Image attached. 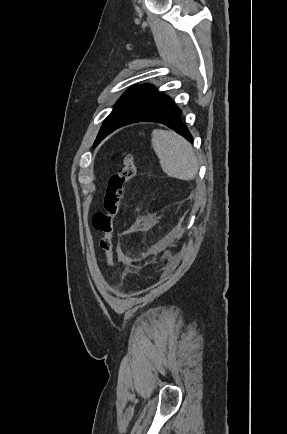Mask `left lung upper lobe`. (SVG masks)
Returning a JSON list of instances; mask_svg holds the SVG:
<instances>
[{
  "instance_id": "obj_1",
  "label": "left lung upper lobe",
  "mask_w": 287,
  "mask_h": 434,
  "mask_svg": "<svg viewBox=\"0 0 287 434\" xmlns=\"http://www.w3.org/2000/svg\"><path fill=\"white\" fill-rule=\"evenodd\" d=\"M167 96L156 92L153 85H135L129 88L103 123L94 145L99 144L108 134L119 128L128 118L149 105Z\"/></svg>"
}]
</instances>
